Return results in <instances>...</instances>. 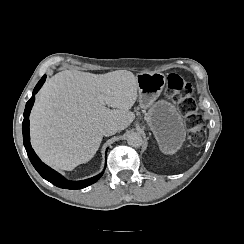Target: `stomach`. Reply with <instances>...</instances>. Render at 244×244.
<instances>
[{"instance_id":"1","label":"stomach","mask_w":244,"mask_h":244,"mask_svg":"<svg viewBox=\"0 0 244 244\" xmlns=\"http://www.w3.org/2000/svg\"><path fill=\"white\" fill-rule=\"evenodd\" d=\"M139 103L147 109V122L165 155H174L182 149L186 140L185 121L175 104L166 99L157 100L166 76L160 72H145L137 75Z\"/></svg>"}]
</instances>
